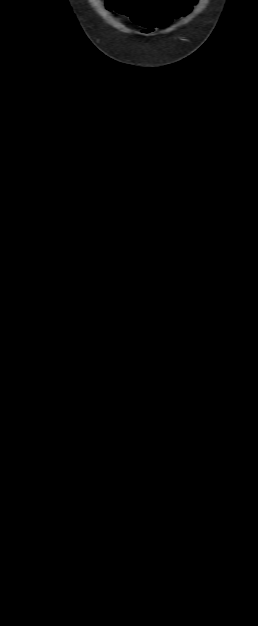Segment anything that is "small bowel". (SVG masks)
<instances>
[{
    "label": "small bowel",
    "instance_id": "1",
    "mask_svg": "<svg viewBox=\"0 0 258 626\" xmlns=\"http://www.w3.org/2000/svg\"><path fill=\"white\" fill-rule=\"evenodd\" d=\"M196 2V0H183L182 2H180L173 10H171L167 15L161 17L160 19L163 21L161 25H156L153 24L151 26V24H141L143 27L146 28H154L155 26L157 27H161L164 26L166 24H168L173 18H177L180 15H185L189 12V10L191 9L192 5ZM108 6L111 10H114L118 13H122L120 10L118 9L117 5L114 2H109Z\"/></svg>",
    "mask_w": 258,
    "mask_h": 626
}]
</instances>
